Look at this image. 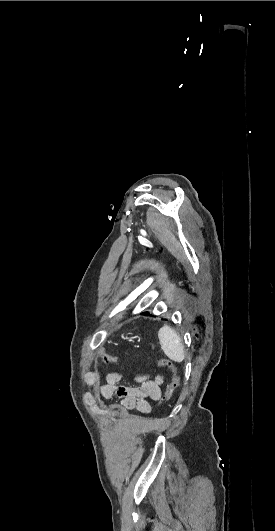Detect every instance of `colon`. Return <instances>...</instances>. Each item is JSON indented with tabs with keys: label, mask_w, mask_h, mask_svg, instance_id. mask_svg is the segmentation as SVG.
<instances>
[{
	"label": "colon",
	"mask_w": 275,
	"mask_h": 531,
	"mask_svg": "<svg viewBox=\"0 0 275 531\" xmlns=\"http://www.w3.org/2000/svg\"><path fill=\"white\" fill-rule=\"evenodd\" d=\"M100 360L102 364L116 363L118 360L115 357L116 353L113 350L104 349L100 353ZM158 366L160 368H165L168 370L171 376V382L167 386L166 394L161 398L160 403L158 404V411H161L165 406L169 405L173 401V395L176 392L179 385V377L177 369L172 362L167 359H161L158 361Z\"/></svg>",
	"instance_id": "5ec220e1"
}]
</instances>
